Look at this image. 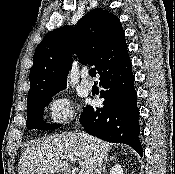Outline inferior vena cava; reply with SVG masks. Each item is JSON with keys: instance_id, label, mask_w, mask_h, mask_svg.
Returning <instances> with one entry per match:
<instances>
[{"instance_id": "1", "label": "inferior vena cava", "mask_w": 175, "mask_h": 174, "mask_svg": "<svg viewBox=\"0 0 175 174\" xmlns=\"http://www.w3.org/2000/svg\"><path fill=\"white\" fill-rule=\"evenodd\" d=\"M80 135L85 140L89 139L87 134L80 133ZM102 159H103V157L100 154H98L97 152H94V155L92 157V164H91L89 174H101Z\"/></svg>"}]
</instances>
